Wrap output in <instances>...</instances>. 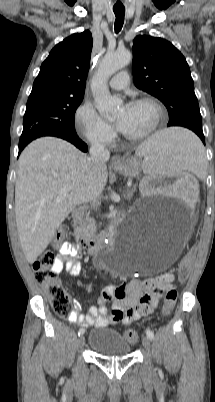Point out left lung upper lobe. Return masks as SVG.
Returning a JSON list of instances; mask_svg holds the SVG:
<instances>
[{"label": "left lung upper lobe", "instance_id": "1", "mask_svg": "<svg viewBox=\"0 0 215 402\" xmlns=\"http://www.w3.org/2000/svg\"><path fill=\"white\" fill-rule=\"evenodd\" d=\"M132 72L135 86L166 106L168 126H183L203 132L189 66L185 57L169 41L137 36L133 41Z\"/></svg>", "mask_w": 215, "mask_h": 402}]
</instances>
